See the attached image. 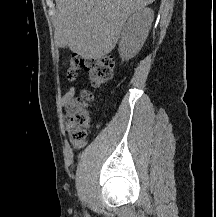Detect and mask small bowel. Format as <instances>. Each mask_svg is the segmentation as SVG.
Segmentation results:
<instances>
[{
  "label": "small bowel",
  "instance_id": "obj_1",
  "mask_svg": "<svg viewBox=\"0 0 216 217\" xmlns=\"http://www.w3.org/2000/svg\"><path fill=\"white\" fill-rule=\"evenodd\" d=\"M75 96H76V89L71 88L61 98V106L62 108L67 110V116L71 107L73 106Z\"/></svg>",
  "mask_w": 216,
  "mask_h": 217
}]
</instances>
